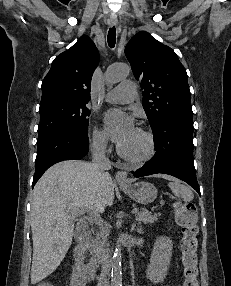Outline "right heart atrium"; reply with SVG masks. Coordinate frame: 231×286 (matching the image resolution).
<instances>
[{
	"instance_id": "right-heart-atrium-1",
	"label": "right heart atrium",
	"mask_w": 231,
	"mask_h": 286,
	"mask_svg": "<svg viewBox=\"0 0 231 286\" xmlns=\"http://www.w3.org/2000/svg\"><path fill=\"white\" fill-rule=\"evenodd\" d=\"M91 147L98 152H106L109 148L107 133L98 127H94L90 139Z\"/></svg>"
}]
</instances>
